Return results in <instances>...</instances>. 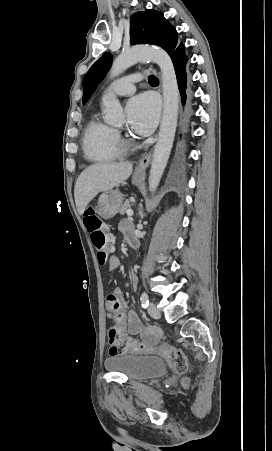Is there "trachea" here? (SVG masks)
<instances>
[{"instance_id":"1","label":"trachea","mask_w":272,"mask_h":451,"mask_svg":"<svg viewBox=\"0 0 272 451\" xmlns=\"http://www.w3.org/2000/svg\"><path fill=\"white\" fill-rule=\"evenodd\" d=\"M148 81L150 84H158L159 80L157 77H155L154 75H150L148 78Z\"/></svg>"}]
</instances>
